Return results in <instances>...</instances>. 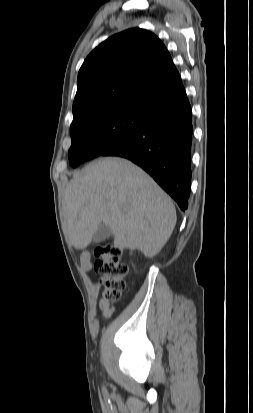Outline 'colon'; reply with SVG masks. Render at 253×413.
Masks as SVG:
<instances>
[{
	"label": "colon",
	"instance_id": "1",
	"mask_svg": "<svg viewBox=\"0 0 253 413\" xmlns=\"http://www.w3.org/2000/svg\"><path fill=\"white\" fill-rule=\"evenodd\" d=\"M97 261L95 270L100 275V282L103 285L101 308L107 309L108 305L121 298L125 288V276L127 266L121 261L122 251L113 245L98 247L95 250Z\"/></svg>",
	"mask_w": 253,
	"mask_h": 413
}]
</instances>
